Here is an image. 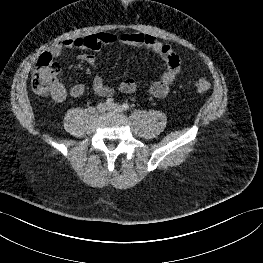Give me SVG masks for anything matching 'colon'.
Here are the masks:
<instances>
[{
  "label": "colon",
  "instance_id": "obj_1",
  "mask_svg": "<svg viewBox=\"0 0 263 263\" xmlns=\"http://www.w3.org/2000/svg\"><path fill=\"white\" fill-rule=\"evenodd\" d=\"M60 66L49 53L42 54L36 61L32 76L31 86L39 95H52L59 84ZM194 89L198 93H205L210 89V82L199 78L194 82Z\"/></svg>",
  "mask_w": 263,
  "mask_h": 263
}]
</instances>
